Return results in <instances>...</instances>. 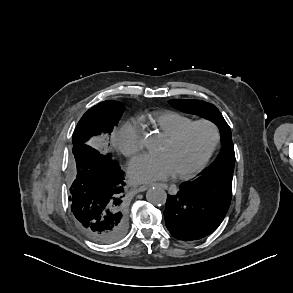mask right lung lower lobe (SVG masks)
<instances>
[{"mask_svg": "<svg viewBox=\"0 0 293 293\" xmlns=\"http://www.w3.org/2000/svg\"><path fill=\"white\" fill-rule=\"evenodd\" d=\"M74 181L71 211L79 227L93 241L114 243L127 231L124 214V176L117 161L86 143L74 144Z\"/></svg>", "mask_w": 293, "mask_h": 293, "instance_id": "98d812e1", "label": "right lung lower lobe"}]
</instances>
